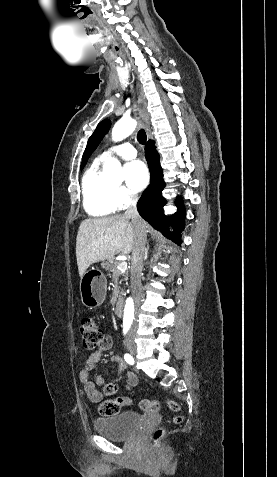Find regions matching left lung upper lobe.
Listing matches in <instances>:
<instances>
[{
    "label": "left lung upper lobe",
    "mask_w": 277,
    "mask_h": 477,
    "mask_svg": "<svg viewBox=\"0 0 277 477\" xmlns=\"http://www.w3.org/2000/svg\"><path fill=\"white\" fill-rule=\"evenodd\" d=\"M109 128H110V121L107 120V119L101 121L97 125L94 133L91 135V137L88 140V143H87V146H86V149L84 151L83 158H82L81 169H83V167L85 166L89 156L97 148L100 141L103 139V137L108 132Z\"/></svg>",
    "instance_id": "left-lung-upper-lobe-1"
}]
</instances>
